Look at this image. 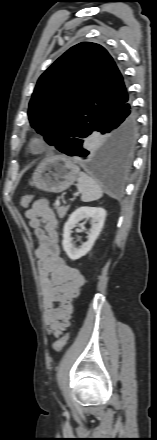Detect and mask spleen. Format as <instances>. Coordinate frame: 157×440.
<instances>
[{"instance_id":"3e777b00","label":"spleen","mask_w":157,"mask_h":440,"mask_svg":"<svg viewBox=\"0 0 157 440\" xmlns=\"http://www.w3.org/2000/svg\"><path fill=\"white\" fill-rule=\"evenodd\" d=\"M77 189L81 193V200L83 202H92L103 196V191L99 184L83 172H80L78 175Z\"/></svg>"}]
</instances>
